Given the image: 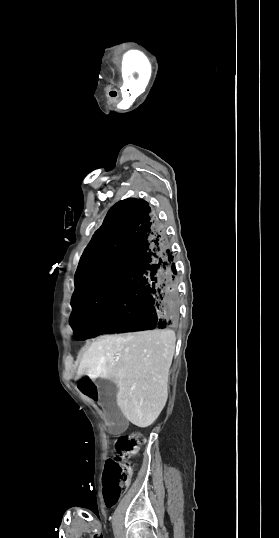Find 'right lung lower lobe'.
I'll use <instances>...</instances> for the list:
<instances>
[{"instance_id":"obj_1","label":"right lung lower lobe","mask_w":279,"mask_h":538,"mask_svg":"<svg viewBox=\"0 0 279 538\" xmlns=\"http://www.w3.org/2000/svg\"><path fill=\"white\" fill-rule=\"evenodd\" d=\"M169 239L149 203H116L75 274L70 324L84 339L177 327L176 269Z\"/></svg>"}]
</instances>
